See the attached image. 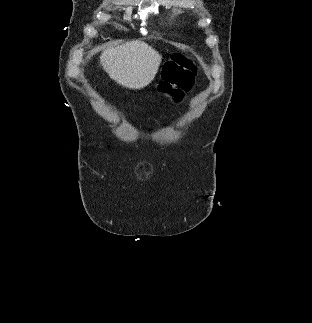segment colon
I'll list each match as a JSON object with an SVG mask.
<instances>
[{
	"instance_id": "1",
	"label": "colon",
	"mask_w": 312,
	"mask_h": 323,
	"mask_svg": "<svg viewBox=\"0 0 312 323\" xmlns=\"http://www.w3.org/2000/svg\"><path fill=\"white\" fill-rule=\"evenodd\" d=\"M197 68L195 64L181 53H176L173 60L166 66L165 78L160 80L161 93L175 92L174 104H180L184 99V93L191 90ZM172 86H177L174 89Z\"/></svg>"
}]
</instances>
